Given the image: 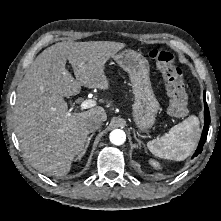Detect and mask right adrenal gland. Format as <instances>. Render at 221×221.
Instances as JSON below:
<instances>
[{"instance_id":"2a0ac1e0","label":"right adrenal gland","mask_w":221,"mask_h":221,"mask_svg":"<svg viewBox=\"0 0 221 221\" xmlns=\"http://www.w3.org/2000/svg\"><path fill=\"white\" fill-rule=\"evenodd\" d=\"M93 135H94V134H91V135L88 137L87 143H86L85 148H84V151L75 159V161H76V160H80V159L84 156V154L86 153V151H87V149H88V147H89V144H90V141H91Z\"/></svg>"}]
</instances>
